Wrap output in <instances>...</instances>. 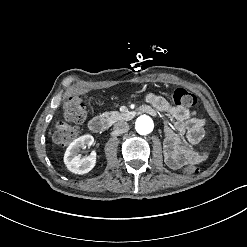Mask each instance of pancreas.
<instances>
[{"mask_svg":"<svg viewBox=\"0 0 247 247\" xmlns=\"http://www.w3.org/2000/svg\"><path fill=\"white\" fill-rule=\"evenodd\" d=\"M102 117L106 118L108 122L114 123L117 121H123L130 117L127 113H119L117 111L104 112Z\"/></svg>","mask_w":247,"mask_h":247,"instance_id":"pancreas-1","label":"pancreas"}]
</instances>
